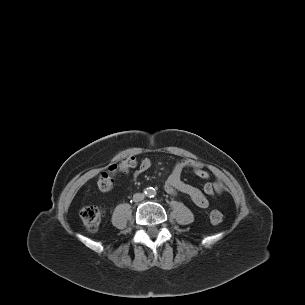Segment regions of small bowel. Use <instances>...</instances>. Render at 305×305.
<instances>
[{
	"instance_id": "c3829d8e",
	"label": "small bowel",
	"mask_w": 305,
	"mask_h": 305,
	"mask_svg": "<svg viewBox=\"0 0 305 305\" xmlns=\"http://www.w3.org/2000/svg\"><path fill=\"white\" fill-rule=\"evenodd\" d=\"M151 166V161L148 158H142L136 171L137 174L148 170ZM191 167L193 173L200 178H208V172L203 168V165L199 162L189 160L186 158H179L176 160L173 169L164 183V190L173 194L176 191H180L190 196L192 201L201 208H206L209 205L208 195L216 193L221 195L224 191L223 186L218 182H206L203 189L185 182L182 179V172L184 168Z\"/></svg>"
}]
</instances>
